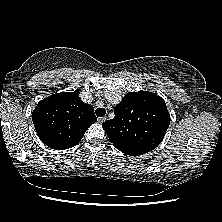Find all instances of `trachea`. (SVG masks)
Masks as SVG:
<instances>
[{
	"label": "trachea",
	"mask_w": 222,
	"mask_h": 222,
	"mask_svg": "<svg viewBox=\"0 0 222 222\" xmlns=\"http://www.w3.org/2000/svg\"><path fill=\"white\" fill-rule=\"evenodd\" d=\"M95 113L98 117H103L106 114V110L105 108H97Z\"/></svg>",
	"instance_id": "1"
}]
</instances>
